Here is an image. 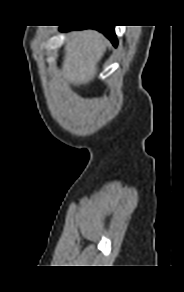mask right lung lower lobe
<instances>
[{
    "label": "right lung lower lobe",
    "mask_w": 184,
    "mask_h": 292,
    "mask_svg": "<svg viewBox=\"0 0 184 292\" xmlns=\"http://www.w3.org/2000/svg\"><path fill=\"white\" fill-rule=\"evenodd\" d=\"M86 28H93L100 32H102L110 41L113 43L114 46H117V38L114 32V26H102V27H92V26H60L61 31H69L75 29H86Z\"/></svg>",
    "instance_id": "right-lung-lower-lobe-1"
}]
</instances>
